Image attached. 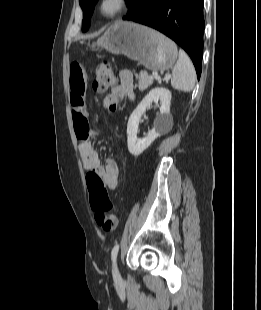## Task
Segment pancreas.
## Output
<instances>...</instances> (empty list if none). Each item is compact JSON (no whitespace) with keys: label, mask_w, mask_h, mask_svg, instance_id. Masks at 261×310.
Instances as JSON below:
<instances>
[{"label":"pancreas","mask_w":261,"mask_h":310,"mask_svg":"<svg viewBox=\"0 0 261 310\" xmlns=\"http://www.w3.org/2000/svg\"><path fill=\"white\" fill-rule=\"evenodd\" d=\"M152 83H153V78L149 76L146 71H141L139 74V81H138L139 90L144 91L149 86H151Z\"/></svg>","instance_id":"pancreas-1"}]
</instances>
